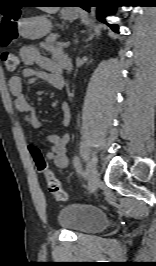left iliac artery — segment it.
I'll use <instances>...</instances> for the list:
<instances>
[{"mask_svg":"<svg viewBox=\"0 0 156 266\" xmlns=\"http://www.w3.org/2000/svg\"><path fill=\"white\" fill-rule=\"evenodd\" d=\"M73 164H74L75 168L77 169V171L79 173H81V164H80V158H79V156H75L74 157Z\"/></svg>","mask_w":156,"mask_h":266,"instance_id":"44dca946","label":"left iliac artery"}]
</instances>
